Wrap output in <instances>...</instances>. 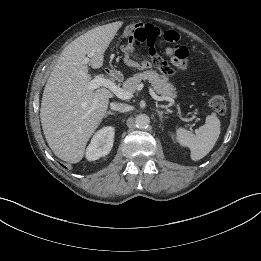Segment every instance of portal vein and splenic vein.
I'll return each instance as SVG.
<instances>
[{
	"mask_svg": "<svg viewBox=\"0 0 261 261\" xmlns=\"http://www.w3.org/2000/svg\"><path fill=\"white\" fill-rule=\"evenodd\" d=\"M92 53L88 54V57L85 58V62L88 63L89 62V58L92 57ZM106 87L108 88L110 91H112L118 98L122 99V100H127V99H131L133 97V93L129 92V91H125L122 88H120L119 86H117L113 81L106 79L104 77H102L101 75H96L94 77V79H92L89 83H88V88L91 90H95L99 87ZM143 88V84H139L137 90H141ZM149 93L152 96L153 99L157 100V101H168L169 106L174 105V100L170 97H162V96H158L152 87H149ZM178 111H180V109L178 108ZM193 118H195V116H193Z\"/></svg>",
	"mask_w": 261,
	"mask_h": 261,
	"instance_id": "obj_1",
	"label": "portal vein and splenic vein"
}]
</instances>
